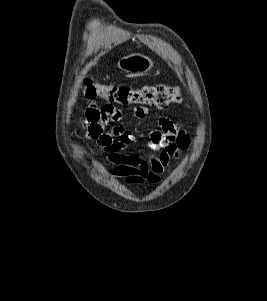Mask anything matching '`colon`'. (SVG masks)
I'll return each instance as SVG.
<instances>
[{
	"mask_svg": "<svg viewBox=\"0 0 267 301\" xmlns=\"http://www.w3.org/2000/svg\"><path fill=\"white\" fill-rule=\"evenodd\" d=\"M84 85V95L87 98L99 96L111 103L121 105L142 104L163 110L182 101L179 89L174 86L149 85L133 88L129 85L94 83L90 79H86Z\"/></svg>",
	"mask_w": 267,
	"mask_h": 301,
	"instance_id": "1",
	"label": "colon"
}]
</instances>
